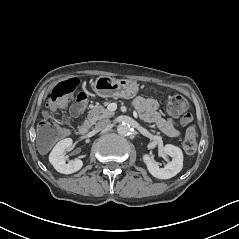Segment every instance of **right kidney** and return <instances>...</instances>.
<instances>
[{"label":"right kidney","instance_id":"1","mask_svg":"<svg viewBox=\"0 0 239 239\" xmlns=\"http://www.w3.org/2000/svg\"><path fill=\"white\" fill-rule=\"evenodd\" d=\"M73 147V139L65 138L59 141L49 155V161L56 171L62 174H71L79 171L83 166V161L74 159L66 160L65 153Z\"/></svg>","mask_w":239,"mask_h":239}]
</instances>
